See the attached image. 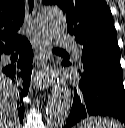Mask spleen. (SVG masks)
Instances as JSON below:
<instances>
[{
  "instance_id": "1",
  "label": "spleen",
  "mask_w": 125,
  "mask_h": 128,
  "mask_svg": "<svg viewBox=\"0 0 125 128\" xmlns=\"http://www.w3.org/2000/svg\"><path fill=\"white\" fill-rule=\"evenodd\" d=\"M77 128H125V126L107 117H87L77 125Z\"/></svg>"
}]
</instances>
